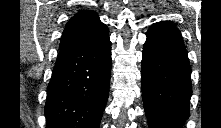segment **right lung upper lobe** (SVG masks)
<instances>
[{
  "label": "right lung upper lobe",
  "mask_w": 221,
  "mask_h": 128,
  "mask_svg": "<svg viewBox=\"0 0 221 128\" xmlns=\"http://www.w3.org/2000/svg\"><path fill=\"white\" fill-rule=\"evenodd\" d=\"M108 32L107 26L100 21L97 13L80 11L67 22L59 49L99 43Z\"/></svg>",
  "instance_id": "obj_1"
}]
</instances>
